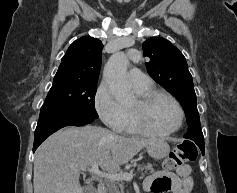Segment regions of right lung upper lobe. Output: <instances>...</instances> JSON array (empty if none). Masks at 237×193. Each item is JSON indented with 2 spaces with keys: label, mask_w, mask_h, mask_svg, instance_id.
Returning a JSON list of instances; mask_svg holds the SVG:
<instances>
[{
  "label": "right lung upper lobe",
  "mask_w": 237,
  "mask_h": 193,
  "mask_svg": "<svg viewBox=\"0 0 237 193\" xmlns=\"http://www.w3.org/2000/svg\"><path fill=\"white\" fill-rule=\"evenodd\" d=\"M102 48V42L90 36L74 41L62 58V63L54 78L97 82Z\"/></svg>",
  "instance_id": "obj_1"
}]
</instances>
